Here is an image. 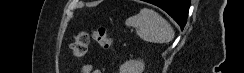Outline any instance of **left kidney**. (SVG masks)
I'll use <instances>...</instances> for the list:
<instances>
[{"label":"left kidney","instance_id":"1","mask_svg":"<svg viewBox=\"0 0 244 73\" xmlns=\"http://www.w3.org/2000/svg\"><path fill=\"white\" fill-rule=\"evenodd\" d=\"M144 67L141 60H129L120 66L119 73H143Z\"/></svg>","mask_w":244,"mask_h":73}]
</instances>
